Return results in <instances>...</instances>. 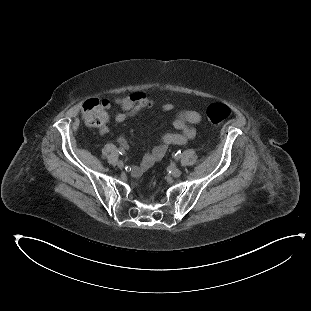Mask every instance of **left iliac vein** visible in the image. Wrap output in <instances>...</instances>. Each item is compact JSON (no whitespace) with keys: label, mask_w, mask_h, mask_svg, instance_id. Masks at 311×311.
Returning a JSON list of instances; mask_svg holds the SVG:
<instances>
[{"label":"left iliac vein","mask_w":311,"mask_h":311,"mask_svg":"<svg viewBox=\"0 0 311 311\" xmlns=\"http://www.w3.org/2000/svg\"><path fill=\"white\" fill-rule=\"evenodd\" d=\"M171 174L173 177L177 178L181 175V170L179 168H174Z\"/></svg>","instance_id":"left-iliac-vein-1"}]
</instances>
